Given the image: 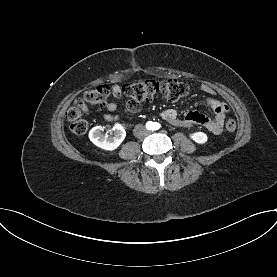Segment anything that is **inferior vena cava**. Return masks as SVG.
<instances>
[{
  "mask_svg": "<svg viewBox=\"0 0 277 277\" xmlns=\"http://www.w3.org/2000/svg\"><path fill=\"white\" fill-rule=\"evenodd\" d=\"M133 134L137 138H144L148 135V130L145 128L144 125L138 124L134 127Z\"/></svg>",
  "mask_w": 277,
  "mask_h": 277,
  "instance_id": "obj_1",
  "label": "inferior vena cava"
}]
</instances>
